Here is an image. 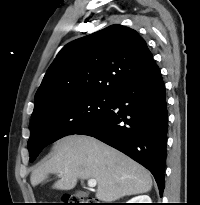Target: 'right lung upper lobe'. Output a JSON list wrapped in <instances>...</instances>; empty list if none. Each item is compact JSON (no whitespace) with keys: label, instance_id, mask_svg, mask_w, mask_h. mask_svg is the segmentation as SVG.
<instances>
[{"label":"right lung upper lobe","instance_id":"obj_1","mask_svg":"<svg viewBox=\"0 0 200 205\" xmlns=\"http://www.w3.org/2000/svg\"><path fill=\"white\" fill-rule=\"evenodd\" d=\"M154 64L144 39L122 25L74 40L61 49L45 74L31 117L74 97H112Z\"/></svg>","mask_w":200,"mask_h":205}]
</instances>
